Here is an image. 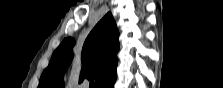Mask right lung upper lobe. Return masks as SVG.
I'll list each match as a JSON object with an SVG mask.
<instances>
[{
	"label": "right lung upper lobe",
	"mask_w": 223,
	"mask_h": 88,
	"mask_svg": "<svg viewBox=\"0 0 223 88\" xmlns=\"http://www.w3.org/2000/svg\"><path fill=\"white\" fill-rule=\"evenodd\" d=\"M119 32L111 13H107L90 32L82 49V70L79 82L95 79L96 88L116 80ZM75 41L65 38L43 71L38 88H64L63 75L73 59Z\"/></svg>",
	"instance_id": "right-lung-upper-lobe-1"
}]
</instances>
